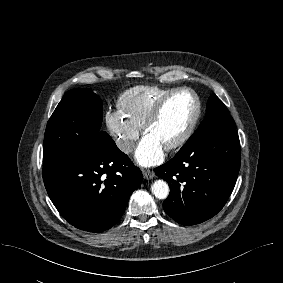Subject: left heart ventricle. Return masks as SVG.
Here are the masks:
<instances>
[{"label": "left heart ventricle", "mask_w": 283, "mask_h": 283, "mask_svg": "<svg viewBox=\"0 0 283 283\" xmlns=\"http://www.w3.org/2000/svg\"><path fill=\"white\" fill-rule=\"evenodd\" d=\"M195 110V101L189 93L177 94L165 104L159 117L145 135L165 148L187 128Z\"/></svg>", "instance_id": "left-heart-ventricle-1"}]
</instances>
